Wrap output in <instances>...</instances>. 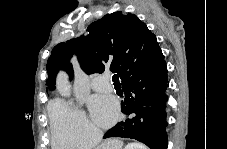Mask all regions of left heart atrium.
Segmentation results:
<instances>
[{"label": "left heart atrium", "instance_id": "left-heart-atrium-1", "mask_svg": "<svg viewBox=\"0 0 227 149\" xmlns=\"http://www.w3.org/2000/svg\"><path fill=\"white\" fill-rule=\"evenodd\" d=\"M93 119L103 127L114 123L119 115V107L111 96L95 95L89 101Z\"/></svg>", "mask_w": 227, "mask_h": 149}]
</instances>
